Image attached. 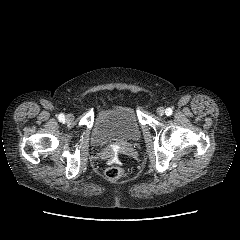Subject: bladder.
Instances as JSON below:
<instances>
[{
  "label": "bladder",
  "mask_w": 240,
  "mask_h": 240,
  "mask_svg": "<svg viewBox=\"0 0 240 240\" xmlns=\"http://www.w3.org/2000/svg\"><path fill=\"white\" fill-rule=\"evenodd\" d=\"M142 136L135 112L125 106H117L100 113L93 129L92 144L104 147L111 144L134 145Z\"/></svg>",
  "instance_id": "obj_1"
}]
</instances>
